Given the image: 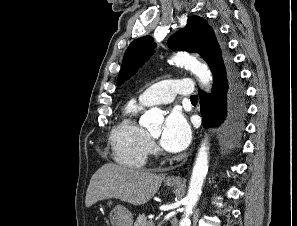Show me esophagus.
Masks as SVG:
<instances>
[{"mask_svg": "<svg viewBox=\"0 0 297 226\" xmlns=\"http://www.w3.org/2000/svg\"><path fill=\"white\" fill-rule=\"evenodd\" d=\"M166 180L169 182H176L178 181V178L175 175H170L166 178Z\"/></svg>", "mask_w": 297, "mask_h": 226, "instance_id": "1", "label": "esophagus"}]
</instances>
